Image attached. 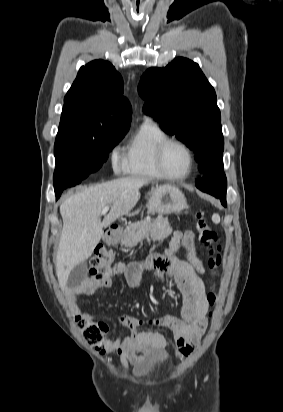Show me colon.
<instances>
[{
  "label": "colon",
  "mask_w": 283,
  "mask_h": 412,
  "mask_svg": "<svg viewBox=\"0 0 283 412\" xmlns=\"http://www.w3.org/2000/svg\"><path fill=\"white\" fill-rule=\"evenodd\" d=\"M196 229L199 234L200 241L208 249L209 252V267L213 272V281L211 283L210 291L207 294V301L209 305L213 306L217 300L216 294V277L218 269L222 263V247L219 243L217 233L209 226L202 211L195 212ZM178 242L173 241V247L178 248ZM159 265L167 264V257L160 255L153 261ZM122 263L114 264L113 255L109 248L100 245L96 248L91 259L92 275L95 278L101 279L114 274ZM77 327L81 332L87 344L94 347L98 351H102L105 344V335L108 331V326L99 321L88 319L79 316L76 320Z\"/></svg>",
  "instance_id": "colon-1"
}]
</instances>
